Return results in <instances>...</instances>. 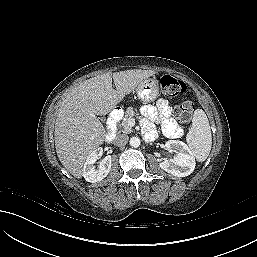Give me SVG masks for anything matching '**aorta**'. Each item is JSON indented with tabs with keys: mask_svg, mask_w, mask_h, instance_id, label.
Returning a JSON list of instances; mask_svg holds the SVG:
<instances>
[{
	"mask_svg": "<svg viewBox=\"0 0 257 257\" xmlns=\"http://www.w3.org/2000/svg\"><path fill=\"white\" fill-rule=\"evenodd\" d=\"M129 143H130V146L137 148L140 146L141 141H140V138L134 136L130 138Z\"/></svg>",
	"mask_w": 257,
	"mask_h": 257,
	"instance_id": "aorta-1",
	"label": "aorta"
}]
</instances>
